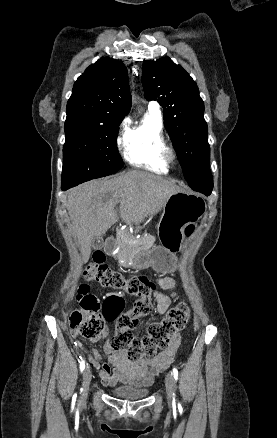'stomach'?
<instances>
[{"mask_svg": "<svg viewBox=\"0 0 277 438\" xmlns=\"http://www.w3.org/2000/svg\"><path fill=\"white\" fill-rule=\"evenodd\" d=\"M203 199L183 189L170 194L163 206L158 224L161 245L137 254L133 261L135 268H148L160 273H170L177 268L176 254L182 250L185 239L184 229L205 213Z\"/></svg>", "mask_w": 277, "mask_h": 438, "instance_id": "1", "label": "stomach"}]
</instances>
